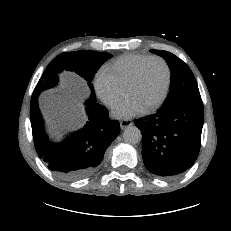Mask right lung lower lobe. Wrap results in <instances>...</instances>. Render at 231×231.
<instances>
[{"label": "right lung lower lobe", "instance_id": "98d812e1", "mask_svg": "<svg viewBox=\"0 0 231 231\" xmlns=\"http://www.w3.org/2000/svg\"><path fill=\"white\" fill-rule=\"evenodd\" d=\"M38 94L31 98L30 119L35 149L48 168L59 176L78 180L90 176L103 160L104 153L120 132L119 122L108 118V110L88 100V122L83 129L62 143L50 141L43 130Z\"/></svg>", "mask_w": 231, "mask_h": 231}]
</instances>
